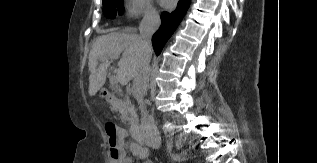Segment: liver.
I'll return each instance as SVG.
<instances>
[{
    "mask_svg": "<svg viewBox=\"0 0 317 163\" xmlns=\"http://www.w3.org/2000/svg\"><path fill=\"white\" fill-rule=\"evenodd\" d=\"M120 54L122 56L118 62L117 74L120 77L119 82L126 85L137 75L144 57L141 36L136 34L135 30L127 29L96 38L90 50L88 62L90 96H94L105 84L107 69L110 66L109 59L119 58Z\"/></svg>",
    "mask_w": 317,
    "mask_h": 163,
    "instance_id": "6515ba94",
    "label": "liver"
}]
</instances>
